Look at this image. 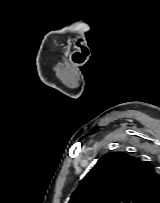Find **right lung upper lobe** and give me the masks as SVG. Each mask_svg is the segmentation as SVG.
<instances>
[{
	"instance_id": "cb5924a9",
	"label": "right lung upper lobe",
	"mask_w": 160,
	"mask_h": 203,
	"mask_svg": "<svg viewBox=\"0 0 160 203\" xmlns=\"http://www.w3.org/2000/svg\"><path fill=\"white\" fill-rule=\"evenodd\" d=\"M160 196V175L124 152L105 154L80 182L69 203H150Z\"/></svg>"
}]
</instances>
